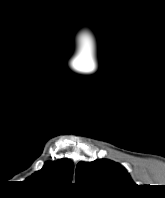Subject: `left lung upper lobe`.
Wrapping results in <instances>:
<instances>
[{"instance_id": "5c2ea615", "label": "left lung upper lobe", "mask_w": 165, "mask_h": 198, "mask_svg": "<svg viewBox=\"0 0 165 198\" xmlns=\"http://www.w3.org/2000/svg\"><path fill=\"white\" fill-rule=\"evenodd\" d=\"M75 178L78 184L97 188L107 193L122 191L134 184L120 164L107 159L80 162L76 166Z\"/></svg>"}]
</instances>
